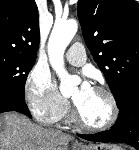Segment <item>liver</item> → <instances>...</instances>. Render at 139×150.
<instances>
[{
	"mask_svg": "<svg viewBox=\"0 0 139 150\" xmlns=\"http://www.w3.org/2000/svg\"><path fill=\"white\" fill-rule=\"evenodd\" d=\"M73 138L44 129L17 113L0 115V150H65Z\"/></svg>",
	"mask_w": 139,
	"mask_h": 150,
	"instance_id": "obj_1",
	"label": "liver"
}]
</instances>
